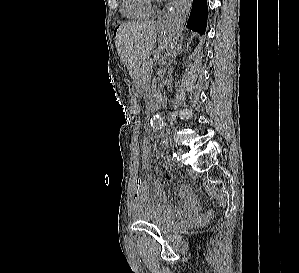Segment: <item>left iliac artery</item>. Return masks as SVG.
<instances>
[{"instance_id":"left-iliac-artery-1","label":"left iliac artery","mask_w":299,"mask_h":273,"mask_svg":"<svg viewBox=\"0 0 299 273\" xmlns=\"http://www.w3.org/2000/svg\"><path fill=\"white\" fill-rule=\"evenodd\" d=\"M172 159L174 160V161H178L179 160V157L177 156V154L176 153H173L172 154Z\"/></svg>"}]
</instances>
